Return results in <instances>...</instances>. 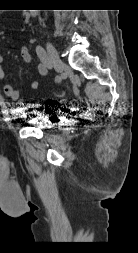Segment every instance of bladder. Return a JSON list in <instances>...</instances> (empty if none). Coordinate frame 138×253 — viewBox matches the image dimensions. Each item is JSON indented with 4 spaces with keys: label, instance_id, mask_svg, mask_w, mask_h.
<instances>
[{
    "label": "bladder",
    "instance_id": "obj_1",
    "mask_svg": "<svg viewBox=\"0 0 138 253\" xmlns=\"http://www.w3.org/2000/svg\"><path fill=\"white\" fill-rule=\"evenodd\" d=\"M26 115L27 122L36 128L41 129H51L53 128V124L50 121L45 120L46 113L43 111H26L24 112Z\"/></svg>",
    "mask_w": 138,
    "mask_h": 253
}]
</instances>
